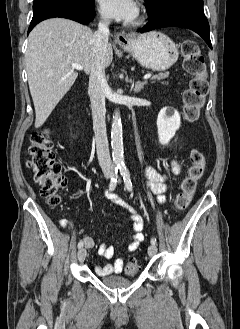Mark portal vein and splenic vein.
<instances>
[{"mask_svg":"<svg viewBox=\"0 0 240 329\" xmlns=\"http://www.w3.org/2000/svg\"><path fill=\"white\" fill-rule=\"evenodd\" d=\"M71 66H72L73 69H77V70H82L83 69V67L79 64L72 63ZM151 76H152V74L148 73L143 78L146 80V79L151 78Z\"/></svg>","mask_w":240,"mask_h":329,"instance_id":"18ae733b","label":"portal vein and splenic vein"}]
</instances>
